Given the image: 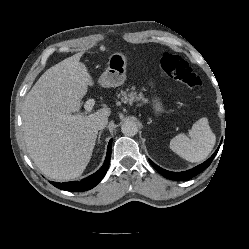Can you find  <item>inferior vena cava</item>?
<instances>
[{"mask_svg": "<svg viewBox=\"0 0 249 249\" xmlns=\"http://www.w3.org/2000/svg\"><path fill=\"white\" fill-rule=\"evenodd\" d=\"M108 123V118L107 117H101V118H98L96 121H95V128L98 129V130H102L106 127Z\"/></svg>", "mask_w": 249, "mask_h": 249, "instance_id": "inferior-vena-cava-1", "label": "inferior vena cava"}]
</instances>
